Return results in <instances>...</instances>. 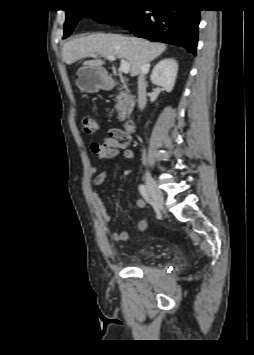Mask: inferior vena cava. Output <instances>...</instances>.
Instances as JSON below:
<instances>
[{
    "label": "inferior vena cava",
    "instance_id": "inferior-vena-cava-1",
    "mask_svg": "<svg viewBox=\"0 0 254 355\" xmlns=\"http://www.w3.org/2000/svg\"><path fill=\"white\" fill-rule=\"evenodd\" d=\"M147 66L143 65L138 77V106L143 109L146 105V81L145 75L147 73ZM143 163L146 164L145 151L143 152Z\"/></svg>",
    "mask_w": 254,
    "mask_h": 355
}]
</instances>
